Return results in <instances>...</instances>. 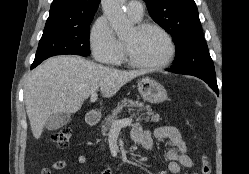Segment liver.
I'll list each match as a JSON object with an SVG mask.
<instances>
[{"mask_svg":"<svg viewBox=\"0 0 249 174\" xmlns=\"http://www.w3.org/2000/svg\"><path fill=\"white\" fill-rule=\"evenodd\" d=\"M143 71H121L79 56H56L34 69L26 79L25 105L32 134L39 139L54 113H76L100 88L103 97L115 95Z\"/></svg>","mask_w":249,"mask_h":174,"instance_id":"obj_1","label":"liver"}]
</instances>
